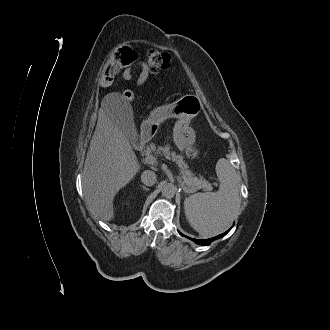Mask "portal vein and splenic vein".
<instances>
[{
    "label": "portal vein and splenic vein",
    "instance_id": "obj_1",
    "mask_svg": "<svg viewBox=\"0 0 330 330\" xmlns=\"http://www.w3.org/2000/svg\"><path fill=\"white\" fill-rule=\"evenodd\" d=\"M145 161H146V163H148V164H154L156 161H157V158L154 156V155H152V154H148L147 156H146V158H145ZM184 189H185V191L187 192V193H193L195 190H193V189H188V188H186V187H184Z\"/></svg>",
    "mask_w": 330,
    "mask_h": 330
}]
</instances>
